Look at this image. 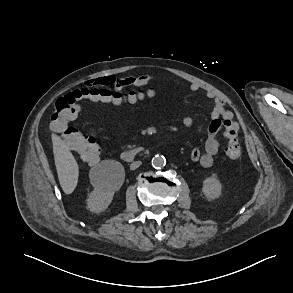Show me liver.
<instances>
[{"label": "liver", "instance_id": "obj_1", "mask_svg": "<svg viewBox=\"0 0 293 293\" xmlns=\"http://www.w3.org/2000/svg\"><path fill=\"white\" fill-rule=\"evenodd\" d=\"M53 153L59 183L65 194H71L78 183L79 167L69 147L56 134L52 135Z\"/></svg>", "mask_w": 293, "mask_h": 293}]
</instances>
